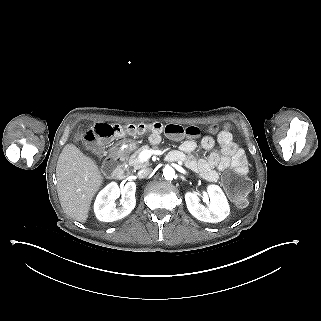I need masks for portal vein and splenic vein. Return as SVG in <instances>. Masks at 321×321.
I'll use <instances>...</instances> for the list:
<instances>
[{
    "label": "portal vein and splenic vein",
    "instance_id": "obj_1",
    "mask_svg": "<svg viewBox=\"0 0 321 321\" xmlns=\"http://www.w3.org/2000/svg\"><path fill=\"white\" fill-rule=\"evenodd\" d=\"M153 154V150H144L138 155V159L140 162H146L150 159Z\"/></svg>",
    "mask_w": 321,
    "mask_h": 321
}]
</instances>
